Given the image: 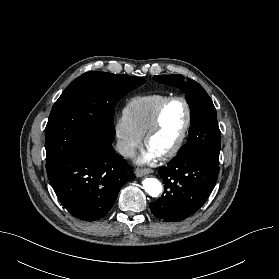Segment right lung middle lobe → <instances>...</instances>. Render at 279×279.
Masks as SVG:
<instances>
[{
    "label": "right lung middle lobe",
    "mask_w": 279,
    "mask_h": 279,
    "mask_svg": "<svg viewBox=\"0 0 279 279\" xmlns=\"http://www.w3.org/2000/svg\"><path fill=\"white\" fill-rule=\"evenodd\" d=\"M144 82L107 72H87L71 82L53 105L45 129L48 177L76 149L111 144L116 103Z\"/></svg>",
    "instance_id": "obj_1"
}]
</instances>
